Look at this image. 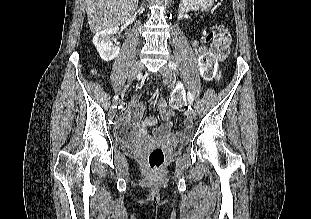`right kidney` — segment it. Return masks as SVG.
Returning <instances> with one entry per match:
<instances>
[{
	"label": "right kidney",
	"mask_w": 311,
	"mask_h": 219,
	"mask_svg": "<svg viewBox=\"0 0 311 219\" xmlns=\"http://www.w3.org/2000/svg\"><path fill=\"white\" fill-rule=\"evenodd\" d=\"M117 30V27L109 28L98 32L93 38V44L104 61L113 60L120 52V47L112 43L113 35Z\"/></svg>",
	"instance_id": "1"
}]
</instances>
